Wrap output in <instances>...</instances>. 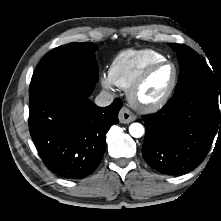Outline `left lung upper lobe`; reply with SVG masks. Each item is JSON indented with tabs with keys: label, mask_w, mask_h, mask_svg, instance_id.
<instances>
[{
	"label": "left lung upper lobe",
	"mask_w": 221,
	"mask_h": 221,
	"mask_svg": "<svg viewBox=\"0 0 221 221\" xmlns=\"http://www.w3.org/2000/svg\"><path fill=\"white\" fill-rule=\"evenodd\" d=\"M169 45L177 52L180 64L175 93L188 89H199L217 99L219 96L221 98V79L213 75L210 68L205 65L198 54L192 48L183 44L170 43Z\"/></svg>",
	"instance_id": "obj_1"
}]
</instances>
